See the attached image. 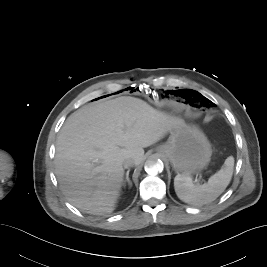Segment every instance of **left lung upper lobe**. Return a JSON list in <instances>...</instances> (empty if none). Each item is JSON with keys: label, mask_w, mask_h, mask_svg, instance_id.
Masks as SVG:
<instances>
[{"label": "left lung upper lobe", "mask_w": 267, "mask_h": 267, "mask_svg": "<svg viewBox=\"0 0 267 267\" xmlns=\"http://www.w3.org/2000/svg\"><path fill=\"white\" fill-rule=\"evenodd\" d=\"M178 92L181 93L182 95H185L187 97V95L185 93H182L184 91L179 90ZM197 95H199L201 97V104L204 103L207 107L214 105V103H212L210 100H208L204 96L200 95L199 93H197ZM197 95H195L196 99L194 101H198L199 100V97ZM187 99H189V98L187 97ZM194 101H192V102H194ZM209 103H211V104H209Z\"/></svg>", "instance_id": "obj_1"}]
</instances>
